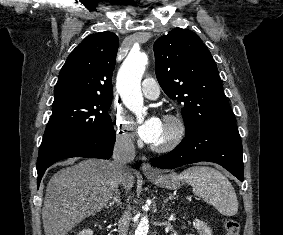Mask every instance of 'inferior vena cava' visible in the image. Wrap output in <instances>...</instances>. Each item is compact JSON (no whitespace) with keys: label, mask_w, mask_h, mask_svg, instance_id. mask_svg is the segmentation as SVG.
Returning a JSON list of instances; mask_svg holds the SVG:
<instances>
[{"label":"inferior vena cava","mask_w":283,"mask_h":235,"mask_svg":"<svg viewBox=\"0 0 283 235\" xmlns=\"http://www.w3.org/2000/svg\"><path fill=\"white\" fill-rule=\"evenodd\" d=\"M112 158V165L117 173V185L122 183L125 186L124 175L129 172L127 164L135 158L132 134L124 133L116 137ZM130 220V206H127V210L118 221V235H127Z\"/></svg>","instance_id":"1"}]
</instances>
